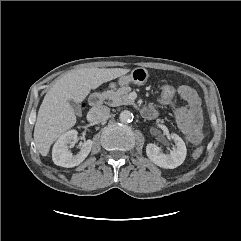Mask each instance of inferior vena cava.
Wrapping results in <instances>:
<instances>
[{
	"instance_id": "inferior-vena-cava-1",
	"label": "inferior vena cava",
	"mask_w": 241,
	"mask_h": 241,
	"mask_svg": "<svg viewBox=\"0 0 241 241\" xmlns=\"http://www.w3.org/2000/svg\"><path fill=\"white\" fill-rule=\"evenodd\" d=\"M110 113V109L107 106H98L90 110V116L93 120H101L106 118Z\"/></svg>"
}]
</instances>
